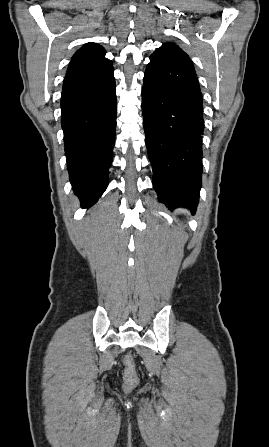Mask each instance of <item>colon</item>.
<instances>
[{
    "mask_svg": "<svg viewBox=\"0 0 269 447\" xmlns=\"http://www.w3.org/2000/svg\"><path fill=\"white\" fill-rule=\"evenodd\" d=\"M124 366V380L128 387H138L140 380L137 377L136 365L134 360L130 356H126L123 359Z\"/></svg>",
    "mask_w": 269,
    "mask_h": 447,
    "instance_id": "obj_1",
    "label": "colon"
}]
</instances>
